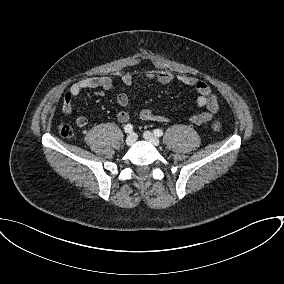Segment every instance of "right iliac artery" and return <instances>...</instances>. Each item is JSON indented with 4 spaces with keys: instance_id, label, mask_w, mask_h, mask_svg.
I'll use <instances>...</instances> for the list:
<instances>
[{
    "instance_id": "82829eb1",
    "label": "right iliac artery",
    "mask_w": 284,
    "mask_h": 284,
    "mask_svg": "<svg viewBox=\"0 0 284 284\" xmlns=\"http://www.w3.org/2000/svg\"><path fill=\"white\" fill-rule=\"evenodd\" d=\"M126 133H131L133 131V126L131 124H127L124 127Z\"/></svg>"
}]
</instances>
